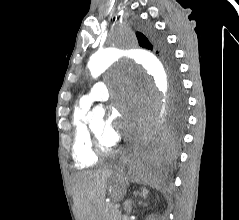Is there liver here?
Returning <instances> with one entry per match:
<instances>
[{
    "label": "liver",
    "mask_w": 239,
    "mask_h": 220,
    "mask_svg": "<svg viewBox=\"0 0 239 220\" xmlns=\"http://www.w3.org/2000/svg\"><path fill=\"white\" fill-rule=\"evenodd\" d=\"M111 169L75 173L72 176V194L78 220H103L104 202Z\"/></svg>",
    "instance_id": "liver-1"
}]
</instances>
